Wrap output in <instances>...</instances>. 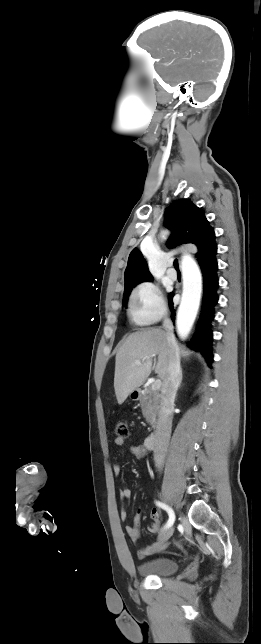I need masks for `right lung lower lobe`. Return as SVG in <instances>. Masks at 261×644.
<instances>
[{
  "instance_id": "1",
  "label": "right lung lower lobe",
  "mask_w": 261,
  "mask_h": 644,
  "mask_svg": "<svg viewBox=\"0 0 261 644\" xmlns=\"http://www.w3.org/2000/svg\"><path fill=\"white\" fill-rule=\"evenodd\" d=\"M202 273H203V302L200 318L197 324L196 332L192 338L189 346L195 351H200L201 354L206 358L208 364L212 363L213 354H212V330H211V321L214 318V306L218 301L217 288H218V277H217V261L216 258H212L203 263H199ZM173 294L169 296V306L171 310L172 321H175V309L172 302Z\"/></svg>"
}]
</instances>
